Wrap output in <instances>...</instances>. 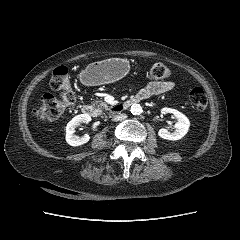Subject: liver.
I'll list each match as a JSON object with an SVG mask.
<instances>
[{
	"mask_svg": "<svg viewBox=\"0 0 240 240\" xmlns=\"http://www.w3.org/2000/svg\"><path fill=\"white\" fill-rule=\"evenodd\" d=\"M44 110L45 109L43 107H41V115H40V117H41L42 120H45Z\"/></svg>",
	"mask_w": 240,
	"mask_h": 240,
	"instance_id": "1",
	"label": "liver"
}]
</instances>
